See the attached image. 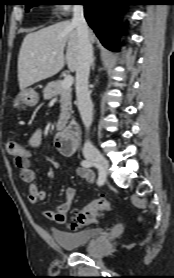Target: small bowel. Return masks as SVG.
I'll return each mask as SVG.
<instances>
[{"instance_id": "small-bowel-1", "label": "small bowel", "mask_w": 174, "mask_h": 278, "mask_svg": "<svg viewBox=\"0 0 174 278\" xmlns=\"http://www.w3.org/2000/svg\"><path fill=\"white\" fill-rule=\"evenodd\" d=\"M41 141V132L36 131L28 141L26 146L30 152L36 148ZM15 165L19 169L20 178L23 182L29 185L28 187V201L31 204H35L46 198V192L40 189L36 182V173L31 167V157L27 158H15ZM76 174L79 178L86 181L89 184L95 182V175L92 170L86 167H78ZM76 191L74 188H67L64 194V201L57 207L55 211H44L43 216L53 221L56 224H63L67 220L68 212L71 209Z\"/></svg>"}]
</instances>
